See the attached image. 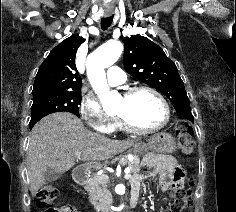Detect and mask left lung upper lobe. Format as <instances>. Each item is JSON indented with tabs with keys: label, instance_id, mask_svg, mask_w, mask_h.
Segmentation results:
<instances>
[{
	"label": "left lung upper lobe",
	"instance_id": "1",
	"mask_svg": "<svg viewBox=\"0 0 236 212\" xmlns=\"http://www.w3.org/2000/svg\"><path fill=\"white\" fill-rule=\"evenodd\" d=\"M123 42L126 71L164 94L173 103L177 113L190 110L189 98L177 67L162 48L138 34L125 37Z\"/></svg>",
	"mask_w": 236,
	"mask_h": 212
}]
</instances>
